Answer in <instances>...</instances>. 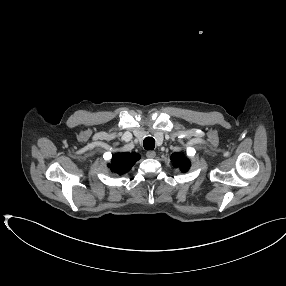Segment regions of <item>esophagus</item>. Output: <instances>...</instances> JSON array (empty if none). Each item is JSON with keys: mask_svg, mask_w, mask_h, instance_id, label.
I'll use <instances>...</instances> for the list:
<instances>
[{"mask_svg": "<svg viewBox=\"0 0 286 286\" xmlns=\"http://www.w3.org/2000/svg\"><path fill=\"white\" fill-rule=\"evenodd\" d=\"M146 156H147V158H155L156 152L155 151H147Z\"/></svg>", "mask_w": 286, "mask_h": 286, "instance_id": "34e87169", "label": "esophagus"}]
</instances>
